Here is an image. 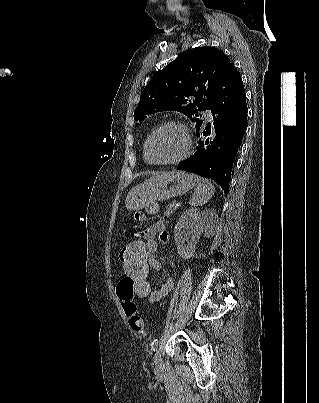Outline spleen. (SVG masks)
Here are the masks:
<instances>
[{
  "instance_id": "obj_1",
  "label": "spleen",
  "mask_w": 319,
  "mask_h": 403,
  "mask_svg": "<svg viewBox=\"0 0 319 403\" xmlns=\"http://www.w3.org/2000/svg\"><path fill=\"white\" fill-rule=\"evenodd\" d=\"M190 176L195 181V190L189 204L191 206H203L214 195L215 187L205 178L195 174H190Z\"/></svg>"
}]
</instances>
